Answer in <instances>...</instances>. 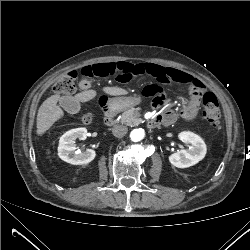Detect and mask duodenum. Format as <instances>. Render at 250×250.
<instances>
[{
    "label": "duodenum",
    "mask_w": 250,
    "mask_h": 250,
    "mask_svg": "<svg viewBox=\"0 0 250 250\" xmlns=\"http://www.w3.org/2000/svg\"><path fill=\"white\" fill-rule=\"evenodd\" d=\"M100 104L104 113V123L106 125H113L117 113L116 109H114L106 100H102ZM147 124L149 127L155 128L161 124V120L158 116H153L148 120Z\"/></svg>",
    "instance_id": "obj_1"
}]
</instances>
